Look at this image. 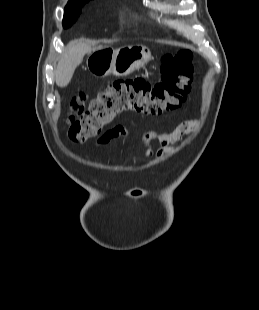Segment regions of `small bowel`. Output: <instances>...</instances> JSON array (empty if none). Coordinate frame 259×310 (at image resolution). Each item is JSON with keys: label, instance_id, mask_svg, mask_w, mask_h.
<instances>
[{"label": "small bowel", "instance_id": "obj_1", "mask_svg": "<svg viewBox=\"0 0 259 310\" xmlns=\"http://www.w3.org/2000/svg\"><path fill=\"white\" fill-rule=\"evenodd\" d=\"M198 125V120H185L180 122L172 131L169 132L159 134L155 131H149L145 133L141 139V142L145 146V158L153 155V151L150 147V143L152 141L158 140L160 142L161 147L156 153V156L160 158L173 150L172 144L197 129ZM128 136L129 134L124 127L116 126L100 137L96 141L95 146L102 147L110 143L112 140L117 138H128Z\"/></svg>", "mask_w": 259, "mask_h": 310}]
</instances>
